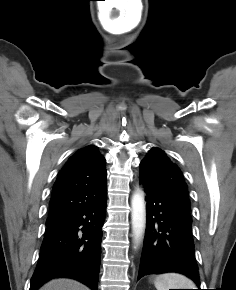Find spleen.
Wrapping results in <instances>:
<instances>
[{"label": "spleen", "instance_id": "spleen-1", "mask_svg": "<svg viewBox=\"0 0 236 290\" xmlns=\"http://www.w3.org/2000/svg\"><path fill=\"white\" fill-rule=\"evenodd\" d=\"M154 285L157 290L193 289L195 286L190 279L179 273L158 275L154 280Z\"/></svg>", "mask_w": 236, "mask_h": 290}]
</instances>
